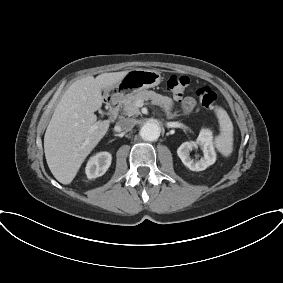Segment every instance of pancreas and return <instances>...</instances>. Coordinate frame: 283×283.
<instances>
[{
  "label": "pancreas",
  "instance_id": "pancreas-1",
  "mask_svg": "<svg viewBox=\"0 0 283 283\" xmlns=\"http://www.w3.org/2000/svg\"><path fill=\"white\" fill-rule=\"evenodd\" d=\"M147 100H152L154 104L160 105L167 113L168 118H175L178 116L176 113H171V109L173 107V100L171 98L148 90L127 94L122 99L124 114L129 117L140 115L138 102Z\"/></svg>",
  "mask_w": 283,
  "mask_h": 283
}]
</instances>
